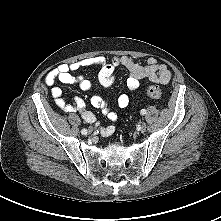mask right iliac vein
<instances>
[{
  "label": "right iliac vein",
  "instance_id": "63e3f726",
  "mask_svg": "<svg viewBox=\"0 0 221 221\" xmlns=\"http://www.w3.org/2000/svg\"><path fill=\"white\" fill-rule=\"evenodd\" d=\"M91 132H92V129H89V130H88V133H91Z\"/></svg>",
  "mask_w": 221,
  "mask_h": 221
}]
</instances>
